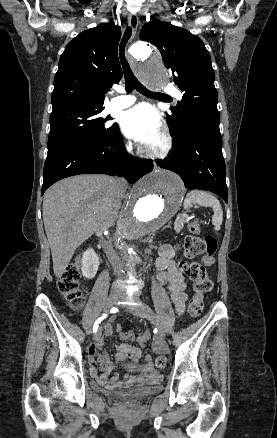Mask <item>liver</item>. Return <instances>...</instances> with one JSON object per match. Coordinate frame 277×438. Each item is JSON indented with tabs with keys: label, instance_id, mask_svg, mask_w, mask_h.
<instances>
[{
	"label": "liver",
	"instance_id": "6515ba94",
	"mask_svg": "<svg viewBox=\"0 0 277 438\" xmlns=\"http://www.w3.org/2000/svg\"><path fill=\"white\" fill-rule=\"evenodd\" d=\"M123 188L117 178L83 174L46 190L43 222L56 278H62L78 246L97 230L112 226L121 208Z\"/></svg>",
	"mask_w": 277,
	"mask_h": 438
}]
</instances>
